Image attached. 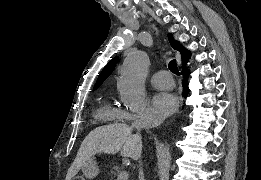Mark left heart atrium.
<instances>
[{"mask_svg": "<svg viewBox=\"0 0 261 180\" xmlns=\"http://www.w3.org/2000/svg\"><path fill=\"white\" fill-rule=\"evenodd\" d=\"M177 107L176 97L167 91H158L152 98L150 110L160 115H168Z\"/></svg>", "mask_w": 261, "mask_h": 180, "instance_id": "39dd6f15", "label": "left heart atrium"}]
</instances>
